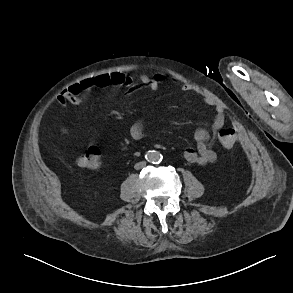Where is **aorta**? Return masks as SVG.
<instances>
[{"instance_id":"obj_1","label":"aorta","mask_w":293,"mask_h":293,"mask_svg":"<svg viewBox=\"0 0 293 293\" xmlns=\"http://www.w3.org/2000/svg\"><path fill=\"white\" fill-rule=\"evenodd\" d=\"M147 159H148L149 162L159 163L162 160V155L158 151H150L147 154Z\"/></svg>"}]
</instances>
